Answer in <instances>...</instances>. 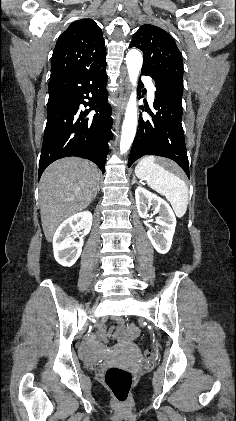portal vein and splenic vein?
<instances>
[{
    "label": "portal vein and splenic vein",
    "mask_w": 236,
    "mask_h": 421,
    "mask_svg": "<svg viewBox=\"0 0 236 421\" xmlns=\"http://www.w3.org/2000/svg\"><path fill=\"white\" fill-rule=\"evenodd\" d=\"M72 198H74V196H72ZM67 200H71V198H67Z\"/></svg>",
    "instance_id": "18ae733b"
}]
</instances>
